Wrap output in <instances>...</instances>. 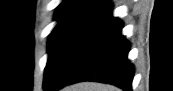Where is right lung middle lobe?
I'll return each instance as SVG.
<instances>
[{
    "label": "right lung middle lobe",
    "instance_id": "obj_1",
    "mask_svg": "<svg viewBox=\"0 0 173 91\" xmlns=\"http://www.w3.org/2000/svg\"><path fill=\"white\" fill-rule=\"evenodd\" d=\"M105 6L111 7V4L106 2ZM83 25L82 23H62L58 24L51 32L48 40L49 57L45 68L44 81L52 75L59 59Z\"/></svg>",
    "mask_w": 173,
    "mask_h": 91
}]
</instances>
